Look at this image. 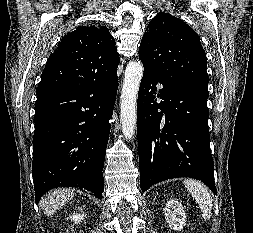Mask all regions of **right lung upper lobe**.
<instances>
[{
    "instance_id": "right-lung-upper-lobe-1",
    "label": "right lung upper lobe",
    "mask_w": 253,
    "mask_h": 233,
    "mask_svg": "<svg viewBox=\"0 0 253 233\" xmlns=\"http://www.w3.org/2000/svg\"><path fill=\"white\" fill-rule=\"evenodd\" d=\"M119 60L105 26H79L61 39L49 57L36 94L105 78L117 71Z\"/></svg>"
}]
</instances>
